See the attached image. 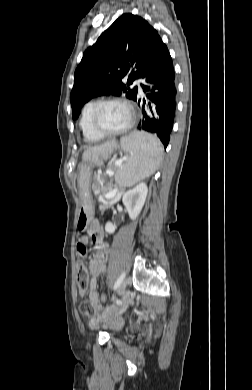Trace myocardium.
Listing matches in <instances>:
<instances>
[{
	"label": "myocardium",
	"instance_id": "obj_1",
	"mask_svg": "<svg viewBox=\"0 0 252 390\" xmlns=\"http://www.w3.org/2000/svg\"><path fill=\"white\" fill-rule=\"evenodd\" d=\"M109 103H121V104H124L125 106H127V108L129 109L130 120L127 123V125L124 126L123 128L118 129V130H114V131H108V130H105L104 128L101 127V125L98 121V115H99L101 108L104 105L109 104ZM136 119H137V114H136V111L134 109L133 104L130 101H128L124 98H119V97H111V98H107V99H103V100L98 101L95 104V106L93 107V110L91 113V123H92L93 128L99 134L103 135L104 137H114V136H119V135L127 133L134 126Z\"/></svg>",
	"mask_w": 252,
	"mask_h": 390
}]
</instances>
